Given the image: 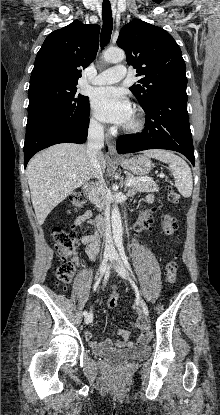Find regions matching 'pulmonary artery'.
<instances>
[{"mask_svg":"<svg viewBox=\"0 0 220 415\" xmlns=\"http://www.w3.org/2000/svg\"><path fill=\"white\" fill-rule=\"evenodd\" d=\"M126 76L124 65H116L98 74L91 83L95 85L113 84L122 80Z\"/></svg>","mask_w":220,"mask_h":415,"instance_id":"1","label":"pulmonary artery"}]
</instances>
